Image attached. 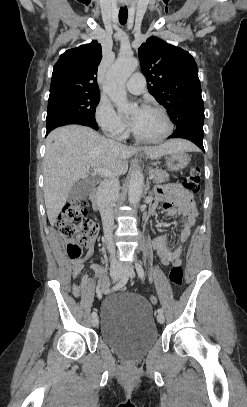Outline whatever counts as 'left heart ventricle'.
<instances>
[{"instance_id": "b2bd125f", "label": "left heart ventricle", "mask_w": 247, "mask_h": 407, "mask_svg": "<svg viewBox=\"0 0 247 407\" xmlns=\"http://www.w3.org/2000/svg\"><path fill=\"white\" fill-rule=\"evenodd\" d=\"M129 119L138 135L146 139L158 138L167 129L163 116L154 110L135 109L131 112Z\"/></svg>"}]
</instances>
